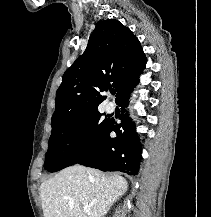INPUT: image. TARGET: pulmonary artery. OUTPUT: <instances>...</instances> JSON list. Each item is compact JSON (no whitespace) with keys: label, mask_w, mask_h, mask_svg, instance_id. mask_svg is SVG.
<instances>
[{"label":"pulmonary artery","mask_w":211,"mask_h":217,"mask_svg":"<svg viewBox=\"0 0 211 217\" xmlns=\"http://www.w3.org/2000/svg\"><path fill=\"white\" fill-rule=\"evenodd\" d=\"M105 109L107 112H113L114 110V105L112 103H107L106 106H105Z\"/></svg>","instance_id":"obj_1"}]
</instances>
